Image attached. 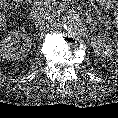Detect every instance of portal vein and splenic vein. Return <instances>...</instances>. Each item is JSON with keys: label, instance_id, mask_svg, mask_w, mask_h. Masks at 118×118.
<instances>
[{"label": "portal vein and splenic vein", "instance_id": "obj_1", "mask_svg": "<svg viewBox=\"0 0 118 118\" xmlns=\"http://www.w3.org/2000/svg\"><path fill=\"white\" fill-rule=\"evenodd\" d=\"M104 26H108L107 22L104 24Z\"/></svg>", "mask_w": 118, "mask_h": 118}]
</instances>
